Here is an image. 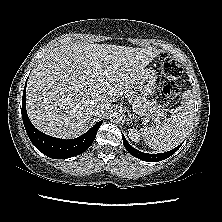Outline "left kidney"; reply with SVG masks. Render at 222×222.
Wrapping results in <instances>:
<instances>
[{
  "mask_svg": "<svg viewBox=\"0 0 222 222\" xmlns=\"http://www.w3.org/2000/svg\"><path fill=\"white\" fill-rule=\"evenodd\" d=\"M128 136L132 142L139 143L140 141V133L137 128L132 127L129 129Z\"/></svg>",
  "mask_w": 222,
  "mask_h": 222,
  "instance_id": "obj_1",
  "label": "left kidney"
}]
</instances>
